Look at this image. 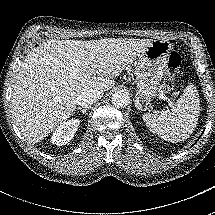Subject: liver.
I'll return each mask as SVG.
<instances>
[{
	"label": "liver",
	"instance_id": "liver-1",
	"mask_svg": "<svg viewBox=\"0 0 215 215\" xmlns=\"http://www.w3.org/2000/svg\"><path fill=\"white\" fill-rule=\"evenodd\" d=\"M150 39L49 40L20 63L12 92L15 123L29 143L43 140L76 109L83 92L108 91Z\"/></svg>",
	"mask_w": 215,
	"mask_h": 215
}]
</instances>
